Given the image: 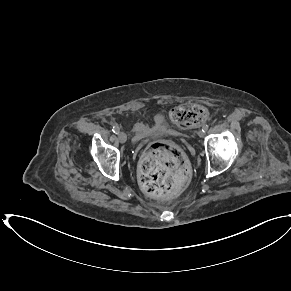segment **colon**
<instances>
[{
  "label": "colon",
  "mask_w": 291,
  "mask_h": 291,
  "mask_svg": "<svg viewBox=\"0 0 291 291\" xmlns=\"http://www.w3.org/2000/svg\"><path fill=\"white\" fill-rule=\"evenodd\" d=\"M207 110L196 103L172 108L170 120L180 128H190L207 119ZM189 172L182 152L170 143L152 145L140 162L139 183L150 196L164 197L180 191Z\"/></svg>",
  "instance_id": "colon-1"
}]
</instances>
